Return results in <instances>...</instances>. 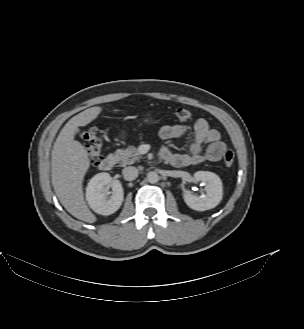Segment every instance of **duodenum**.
I'll list each match as a JSON object with an SVG mask.
<instances>
[{"instance_id":"duodenum-1","label":"duodenum","mask_w":304,"mask_h":329,"mask_svg":"<svg viewBox=\"0 0 304 329\" xmlns=\"http://www.w3.org/2000/svg\"><path fill=\"white\" fill-rule=\"evenodd\" d=\"M116 163V157L114 155L105 156L99 163V168L103 171H108L113 168Z\"/></svg>"}]
</instances>
